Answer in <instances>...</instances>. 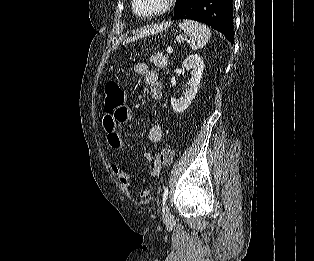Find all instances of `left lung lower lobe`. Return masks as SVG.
<instances>
[{"mask_svg": "<svg viewBox=\"0 0 314 261\" xmlns=\"http://www.w3.org/2000/svg\"><path fill=\"white\" fill-rule=\"evenodd\" d=\"M232 0H184L172 20L192 19L221 32L233 43Z\"/></svg>", "mask_w": 314, "mask_h": 261, "instance_id": "1", "label": "left lung lower lobe"}]
</instances>
